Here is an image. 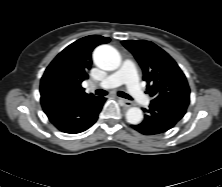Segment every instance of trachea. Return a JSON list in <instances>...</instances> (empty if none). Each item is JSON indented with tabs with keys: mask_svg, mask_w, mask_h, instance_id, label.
Wrapping results in <instances>:
<instances>
[{
	"mask_svg": "<svg viewBox=\"0 0 222 187\" xmlns=\"http://www.w3.org/2000/svg\"><path fill=\"white\" fill-rule=\"evenodd\" d=\"M106 94H107V91H105V90H102V89L96 90V95L104 96V95H106ZM118 96L123 97V98H126V99H129V100H132V97H131V96H129L128 94H126V93H124V92H122V91H119V92H118Z\"/></svg>",
	"mask_w": 222,
	"mask_h": 187,
	"instance_id": "3493384b",
	"label": "trachea"
}]
</instances>
